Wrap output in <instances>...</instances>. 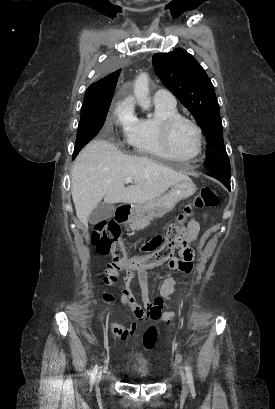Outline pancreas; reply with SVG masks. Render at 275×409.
<instances>
[{"label": "pancreas", "instance_id": "pancreas-1", "mask_svg": "<svg viewBox=\"0 0 275 409\" xmlns=\"http://www.w3.org/2000/svg\"><path fill=\"white\" fill-rule=\"evenodd\" d=\"M135 227H147V225H150L149 221H141V223H133Z\"/></svg>", "mask_w": 275, "mask_h": 409}]
</instances>
